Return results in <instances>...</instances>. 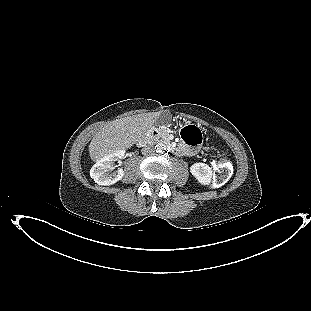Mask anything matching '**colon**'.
Listing matches in <instances>:
<instances>
[{
  "mask_svg": "<svg viewBox=\"0 0 311 311\" xmlns=\"http://www.w3.org/2000/svg\"><path fill=\"white\" fill-rule=\"evenodd\" d=\"M182 137L190 145L199 144L201 140L200 133L195 132L191 126H186L182 129ZM212 167L214 171L213 184L215 185L224 184L232 174V164L225 156L214 159Z\"/></svg>",
  "mask_w": 311,
  "mask_h": 311,
  "instance_id": "1",
  "label": "colon"
}]
</instances>
